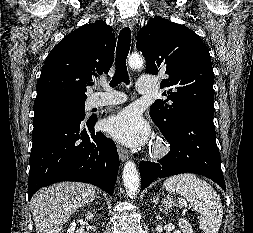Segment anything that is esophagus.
<instances>
[{"mask_svg":"<svg viewBox=\"0 0 253 233\" xmlns=\"http://www.w3.org/2000/svg\"><path fill=\"white\" fill-rule=\"evenodd\" d=\"M135 25V21L133 18H127L126 20L123 21V26L124 27H129V28H133ZM117 151H118V154H119V157H120V160L122 162L126 161L129 157V153L126 149H124L123 147L121 146H117Z\"/></svg>","mask_w":253,"mask_h":233,"instance_id":"34e87169","label":"esophagus"}]
</instances>
